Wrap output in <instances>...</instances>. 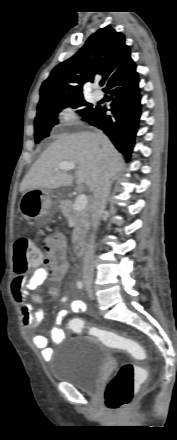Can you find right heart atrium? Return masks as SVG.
<instances>
[{"mask_svg": "<svg viewBox=\"0 0 177 440\" xmlns=\"http://www.w3.org/2000/svg\"><path fill=\"white\" fill-rule=\"evenodd\" d=\"M77 115L74 109L70 106L64 107L58 113V120L63 123H72L76 120Z\"/></svg>", "mask_w": 177, "mask_h": 440, "instance_id": "1", "label": "right heart atrium"}]
</instances>
